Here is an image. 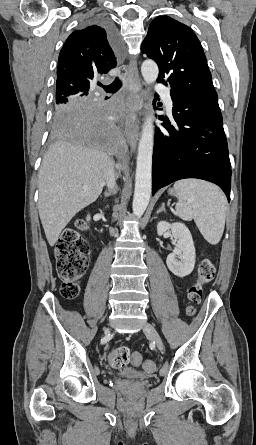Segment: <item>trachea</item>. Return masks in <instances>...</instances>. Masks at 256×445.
Returning a JSON list of instances; mask_svg holds the SVG:
<instances>
[{
  "instance_id": "trachea-1",
  "label": "trachea",
  "mask_w": 256,
  "mask_h": 445,
  "mask_svg": "<svg viewBox=\"0 0 256 445\" xmlns=\"http://www.w3.org/2000/svg\"><path fill=\"white\" fill-rule=\"evenodd\" d=\"M121 85H122L121 80L118 77H116L115 80L110 85L104 86V89L107 93H115L116 91L119 90Z\"/></svg>"
}]
</instances>
